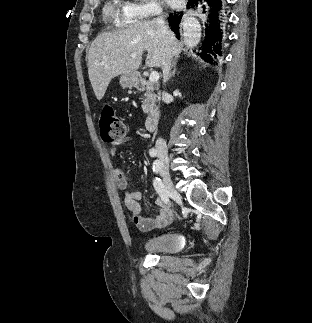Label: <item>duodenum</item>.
Segmentation results:
<instances>
[{
	"mask_svg": "<svg viewBox=\"0 0 312 323\" xmlns=\"http://www.w3.org/2000/svg\"><path fill=\"white\" fill-rule=\"evenodd\" d=\"M131 83L135 87H143L145 85V80L141 74L134 73L131 76ZM160 117V110L159 108H154L153 111L147 116L145 120V129L147 132H151L154 130L156 125L158 124Z\"/></svg>",
	"mask_w": 312,
	"mask_h": 323,
	"instance_id": "duodenum-1",
	"label": "duodenum"
}]
</instances>
